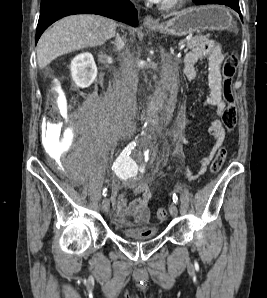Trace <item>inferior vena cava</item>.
Masks as SVG:
<instances>
[{
    "label": "inferior vena cava",
    "instance_id": "602c4592",
    "mask_svg": "<svg viewBox=\"0 0 267 298\" xmlns=\"http://www.w3.org/2000/svg\"><path fill=\"white\" fill-rule=\"evenodd\" d=\"M121 81L116 87V115L122 122H129L136 113L138 74L134 56L128 54L121 66Z\"/></svg>",
    "mask_w": 267,
    "mask_h": 298
}]
</instances>
